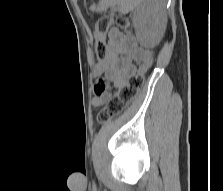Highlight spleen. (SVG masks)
<instances>
[{"label": "spleen", "mask_w": 223, "mask_h": 191, "mask_svg": "<svg viewBox=\"0 0 223 191\" xmlns=\"http://www.w3.org/2000/svg\"><path fill=\"white\" fill-rule=\"evenodd\" d=\"M117 1H119V0H101L98 9L103 10L107 6L112 5V4L116 3Z\"/></svg>", "instance_id": "obj_1"}]
</instances>
